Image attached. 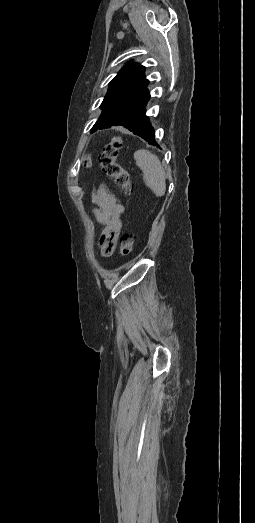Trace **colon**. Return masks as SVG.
Listing matches in <instances>:
<instances>
[{"label": "colon", "instance_id": "1", "mask_svg": "<svg viewBox=\"0 0 255 523\" xmlns=\"http://www.w3.org/2000/svg\"><path fill=\"white\" fill-rule=\"evenodd\" d=\"M122 146V141L119 137H114L108 144L104 146L98 161L103 172L111 177L116 186L126 195H129L132 190L131 177L129 172L124 169L117 161L119 150ZM84 165L90 166V157L84 158ZM134 247L133 236L130 233H124L120 238V244L118 248L119 254L122 256L129 255Z\"/></svg>", "mask_w": 255, "mask_h": 523}]
</instances>
